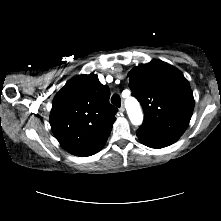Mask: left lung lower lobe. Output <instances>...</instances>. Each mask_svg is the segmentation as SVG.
<instances>
[{"instance_id":"left-lung-lower-lobe-1","label":"left lung lower lobe","mask_w":221,"mask_h":221,"mask_svg":"<svg viewBox=\"0 0 221 221\" xmlns=\"http://www.w3.org/2000/svg\"><path fill=\"white\" fill-rule=\"evenodd\" d=\"M136 133L142 143H144L148 147L156 149L167 147L179 139L178 137L174 136L150 132L143 128H139Z\"/></svg>"}]
</instances>
